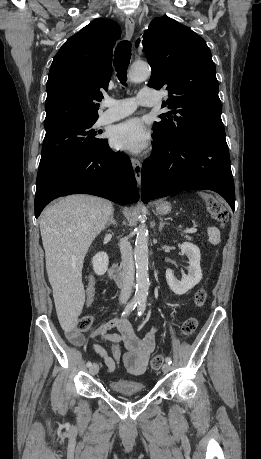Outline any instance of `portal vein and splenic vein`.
<instances>
[{
    "label": "portal vein and splenic vein",
    "mask_w": 261,
    "mask_h": 459,
    "mask_svg": "<svg viewBox=\"0 0 261 459\" xmlns=\"http://www.w3.org/2000/svg\"><path fill=\"white\" fill-rule=\"evenodd\" d=\"M196 231H197L196 228H189V229L184 230V233H195Z\"/></svg>",
    "instance_id": "1"
}]
</instances>
